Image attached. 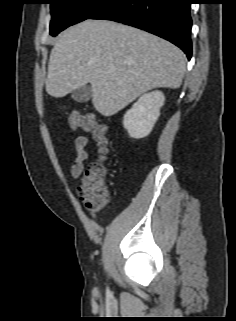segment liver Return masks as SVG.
<instances>
[{
  "instance_id": "obj_1",
  "label": "liver",
  "mask_w": 236,
  "mask_h": 321,
  "mask_svg": "<svg viewBox=\"0 0 236 321\" xmlns=\"http://www.w3.org/2000/svg\"><path fill=\"white\" fill-rule=\"evenodd\" d=\"M185 67L184 53L165 39L113 21L85 20L56 41L46 91L61 98L90 83L93 106L111 116L153 88H179Z\"/></svg>"
}]
</instances>
